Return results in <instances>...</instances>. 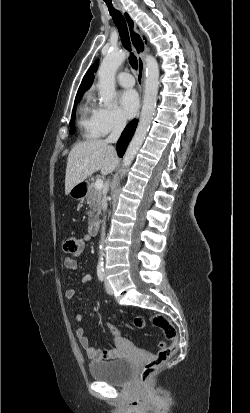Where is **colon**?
<instances>
[{"label":"colon","instance_id":"colon-1","mask_svg":"<svg viewBox=\"0 0 250 413\" xmlns=\"http://www.w3.org/2000/svg\"><path fill=\"white\" fill-rule=\"evenodd\" d=\"M79 246L80 240L74 235L68 236L63 244L65 252L73 254L79 250ZM148 324L160 328L165 338L171 343L169 345H166L163 341L158 343V352L143 365L139 372V380L142 383L148 382L159 370V368L170 359L178 348L177 330L165 316L155 314L150 317L135 316L133 319V325L137 329H143ZM106 328L111 332L116 340H119L122 337V331L120 328L115 326V323L107 322Z\"/></svg>","mask_w":250,"mask_h":413}]
</instances>
